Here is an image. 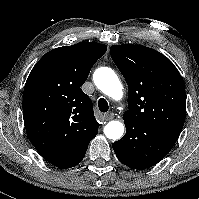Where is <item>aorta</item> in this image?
Listing matches in <instances>:
<instances>
[{
    "label": "aorta",
    "instance_id": "762f6f07",
    "mask_svg": "<svg viewBox=\"0 0 199 199\" xmlns=\"http://www.w3.org/2000/svg\"><path fill=\"white\" fill-rule=\"evenodd\" d=\"M95 85L107 96L119 100L123 95V87L117 74L108 67H101L94 73ZM104 134L108 139L118 140L124 134V124L120 121H110L104 127Z\"/></svg>",
    "mask_w": 199,
    "mask_h": 199
}]
</instances>
